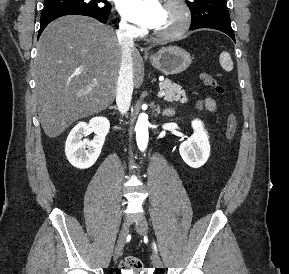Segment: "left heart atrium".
Masks as SVG:
<instances>
[{
  "label": "left heart atrium",
  "mask_w": 289,
  "mask_h": 274,
  "mask_svg": "<svg viewBox=\"0 0 289 274\" xmlns=\"http://www.w3.org/2000/svg\"><path fill=\"white\" fill-rule=\"evenodd\" d=\"M162 8L159 0H121L119 3L121 13L128 20L148 28H155Z\"/></svg>",
  "instance_id": "1"
}]
</instances>
